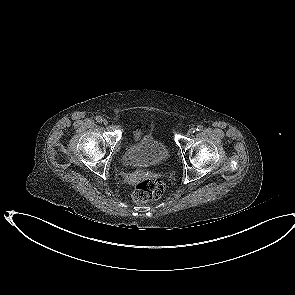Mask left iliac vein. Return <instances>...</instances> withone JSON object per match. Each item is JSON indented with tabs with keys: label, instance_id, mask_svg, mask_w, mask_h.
<instances>
[{
	"label": "left iliac vein",
	"instance_id": "obj_1",
	"mask_svg": "<svg viewBox=\"0 0 295 295\" xmlns=\"http://www.w3.org/2000/svg\"><path fill=\"white\" fill-rule=\"evenodd\" d=\"M195 132V128H190L188 130V135H192Z\"/></svg>",
	"mask_w": 295,
	"mask_h": 295
}]
</instances>
